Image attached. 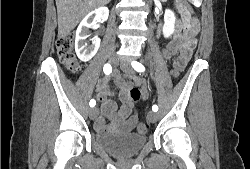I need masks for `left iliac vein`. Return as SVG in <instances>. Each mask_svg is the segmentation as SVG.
<instances>
[{
  "label": "left iliac vein",
  "instance_id": "4c4485c4",
  "mask_svg": "<svg viewBox=\"0 0 250 169\" xmlns=\"http://www.w3.org/2000/svg\"><path fill=\"white\" fill-rule=\"evenodd\" d=\"M120 68L125 72L126 74L133 73V69L131 67V62H120ZM147 119L149 122H155L157 120V114L153 111H149L147 114Z\"/></svg>",
  "mask_w": 250,
  "mask_h": 169
}]
</instances>
